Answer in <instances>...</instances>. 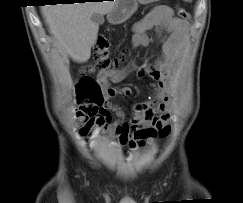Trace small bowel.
Instances as JSON below:
<instances>
[{
  "instance_id": "1",
  "label": "small bowel",
  "mask_w": 243,
  "mask_h": 203,
  "mask_svg": "<svg viewBox=\"0 0 243 203\" xmlns=\"http://www.w3.org/2000/svg\"><path fill=\"white\" fill-rule=\"evenodd\" d=\"M152 28L163 33L160 55L153 65L136 66L131 63L119 70L101 71L97 76L105 99L95 116V122L116 136L120 146L135 148L156 137H166L171 129L174 71L190 24L174 16L168 7H155L134 25L132 46L145 47L149 42L147 31ZM135 70L140 76L155 82V96L136 104L129 121H112L111 111L115 107L111 99L117 95L129 97L132 90L129 87L113 88L110 84L122 81Z\"/></svg>"
}]
</instances>
